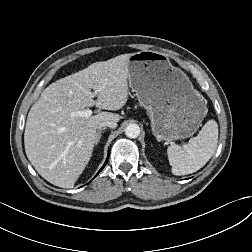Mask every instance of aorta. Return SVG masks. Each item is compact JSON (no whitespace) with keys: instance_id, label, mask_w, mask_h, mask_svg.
Here are the masks:
<instances>
[{"instance_id":"aorta-1","label":"aorta","mask_w":252,"mask_h":252,"mask_svg":"<svg viewBox=\"0 0 252 252\" xmlns=\"http://www.w3.org/2000/svg\"><path fill=\"white\" fill-rule=\"evenodd\" d=\"M125 134L128 138H137L140 135V127L137 124H129L125 128Z\"/></svg>"}]
</instances>
